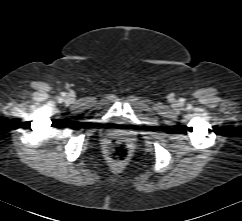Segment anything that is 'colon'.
Wrapping results in <instances>:
<instances>
[{"mask_svg":"<svg viewBox=\"0 0 242 221\" xmlns=\"http://www.w3.org/2000/svg\"><path fill=\"white\" fill-rule=\"evenodd\" d=\"M107 154L114 162L125 161L129 156V147L123 141H111L107 146Z\"/></svg>","mask_w":242,"mask_h":221,"instance_id":"colon-1","label":"colon"}]
</instances>
